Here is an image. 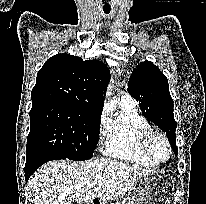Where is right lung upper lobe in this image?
<instances>
[{"mask_svg": "<svg viewBox=\"0 0 206 204\" xmlns=\"http://www.w3.org/2000/svg\"><path fill=\"white\" fill-rule=\"evenodd\" d=\"M109 78V69L98 60L57 54L38 71L32 103L57 102L102 112Z\"/></svg>", "mask_w": 206, "mask_h": 204, "instance_id": "obj_1", "label": "right lung upper lobe"}]
</instances>
